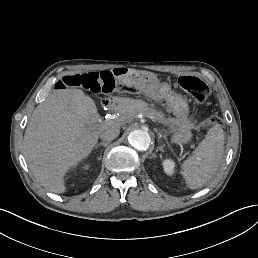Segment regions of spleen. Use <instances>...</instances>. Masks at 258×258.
<instances>
[{"instance_id":"3e777b00","label":"spleen","mask_w":258,"mask_h":258,"mask_svg":"<svg viewBox=\"0 0 258 258\" xmlns=\"http://www.w3.org/2000/svg\"><path fill=\"white\" fill-rule=\"evenodd\" d=\"M224 153V132L215 125L207 132L205 139L184 161L181 174L190 189L205 185L216 174Z\"/></svg>"}]
</instances>
